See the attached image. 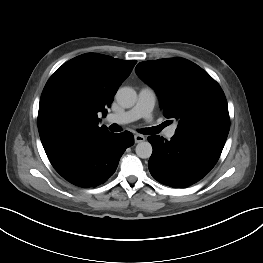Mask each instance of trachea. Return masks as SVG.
Returning a JSON list of instances; mask_svg holds the SVG:
<instances>
[{
    "label": "trachea",
    "mask_w": 263,
    "mask_h": 263,
    "mask_svg": "<svg viewBox=\"0 0 263 263\" xmlns=\"http://www.w3.org/2000/svg\"><path fill=\"white\" fill-rule=\"evenodd\" d=\"M163 126L164 125H160L157 127L143 128V129H140L139 132L145 135H153V134L159 133ZM110 129L111 131H114V132L121 131V128L117 124H112L110 126Z\"/></svg>",
    "instance_id": "1"
}]
</instances>
